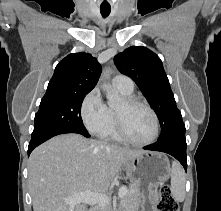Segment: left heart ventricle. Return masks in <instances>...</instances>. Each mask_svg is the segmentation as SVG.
<instances>
[{"label":"left heart ventricle","mask_w":221,"mask_h":211,"mask_svg":"<svg viewBox=\"0 0 221 211\" xmlns=\"http://www.w3.org/2000/svg\"><path fill=\"white\" fill-rule=\"evenodd\" d=\"M116 111L121 115L126 131L132 139L144 142L153 136V117L145 107L128 106L123 101Z\"/></svg>","instance_id":"b2bd125f"}]
</instances>
